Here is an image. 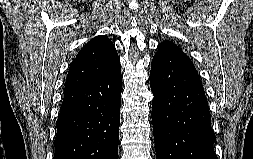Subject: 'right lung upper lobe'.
Here are the masks:
<instances>
[{
  "label": "right lung upper lobe",
  "instance_id": "right-lung-upper-lobe-1",
  "mask_svg": "<svg viewBox=\"0 0 253 159\" xmlns=\"http://www.w3.org/2000/svg\"><path fill=\"white\" fill-rule=\"evenodd\" d=\"M120 64L114 44L107 36L91 39L72 61L66 78L64 93L110 72Z\"/></svg>",
  "mask_w": 253,
  "mask_h": 159
}]
</instances>
